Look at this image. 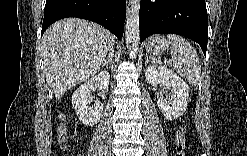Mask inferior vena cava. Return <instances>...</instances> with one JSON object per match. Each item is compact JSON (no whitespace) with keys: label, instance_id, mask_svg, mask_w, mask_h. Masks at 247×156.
Segmentation results:
<instances>
[{"label":"inferior vena cava","instance_id":"1","mask_svg":"<svg viewBox=\"0 0 247 156\" xmlns=\"http://www.w3.org/2000/svg\"><path fill=\"white\" fill-rule=\"evenodd\" d=\"M113 55V46L109 49L108 57H112Z\"/></svg>","mask_w":247,"mask_h":156}]
</instances>
